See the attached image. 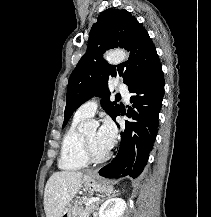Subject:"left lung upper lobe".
I'll return each instance as SVG.
<instances>
[{"instance_id":"obj_1","label":"left lung upper lobe","mask_w":211,"mask_h":217,"mask_svg":"<svg viewBox=\"0 0 211 217\" xmlns=\"http://www.w3.org/2000/svg\"><path fill=\"white\" fill-rule=\"evenodd\" d=\"M117 47L130 51L129 59L117 66L108 64L102 54ZM160 64L151 38L134 16L126 10L103 11L91 28L86 53L70 76L63 127L73 112L94 95L102 97V107L115 120L120 108L110 101L108 80L119 75L131 87Z\"/></svg>"}]
</instances>
